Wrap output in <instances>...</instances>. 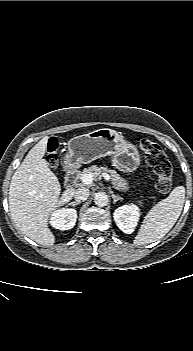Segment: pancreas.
<instances>
[{"label":"pancreas","mask_w":193,"mask_h":351,"mask_svg":"<svg viewBox=\"0 0 193 351\" xmlns=\"http://www.w3.org/2000/svg\"><path fill=\"white\" fill-rule=\"evenodd\" d=\"M104 172L110 174V176L112 177L111 179L114 185L116 186V188L122 187L125 184L123 178L120 177V175L115 170H111L105 166L102 167V166L93 165L89 168H85L81 173L77 174V177L81 179V177L84 174L91 173L93 177L96 178ZM138 204L142 206L143 203L142 201H138Z\"/></svg>","instance_id":"1"}]
</instances>
